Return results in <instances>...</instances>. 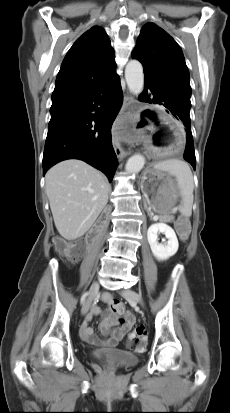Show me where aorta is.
I'll use <instances>...</instances> for the list:
<instances>
[{"instance_id":"aorta-1","label":"aorta","mask_w":230,"mask_h":413,"mask_svg":"<svg viewBox=\"0 0 230 413\" xmlns=\"http://www.w3.org/2000/svg\"><path fill=\"white\" fill-rule=\"evenodd\" d=\"M125 79L130 92L138 96L144 87V74L142 64L138 60H130L125 68ZM145 164V158L141 154L131 156L126 165L125 170L128 173H138L142 170Z\"/></svg>"}]
</instances>
